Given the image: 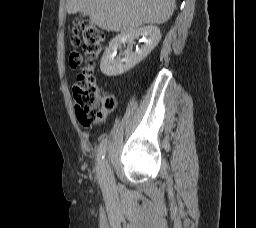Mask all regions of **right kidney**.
I'll use <instances>...</instances> for the list:
<instances>
[{"mask_svg": "<svg viewBox=\"0 0 256 228\" xmlns=\"http://www.w3.org/2000/svg\"><path fill=\"white\" fill-rule=\"evenodd\" d=\"M140 36L144 38V44L133 52L134 39ZM160 39V29L154 25L121 32L109 42L100 62L101 72L109 77L127 72L141 62L159 43ZM125 43L128 44V48L122 54L123 57L115 58L117 49Z\"/></svg>", "mask_w": 256, "mask_h": 228, "instance_id": "obj_1", "label": "right kidney"}]
</instances>
